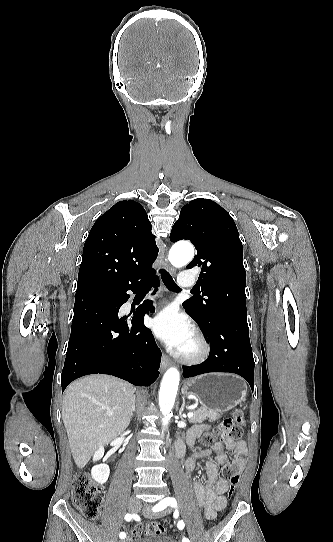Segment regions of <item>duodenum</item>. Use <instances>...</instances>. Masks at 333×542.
<instances>
[{"label":"duodenum","mask_w":333,"mask_h":542,"mask_svg":"<svg viewBox=\"0 0 333 542\" xmlns=\"http://www.w3.org/2000/svg\"><path fill=\"white\" fill-rule=\"evenodd\" d=\"M196 439V435L193 434V433H187V435L185 436L184 439H180L178 442H177V455L178 457H181L183 455V452H184V442L188 443V444H191L195 441Z\"/></svg>","instance_id":"1"}]
</instances>
